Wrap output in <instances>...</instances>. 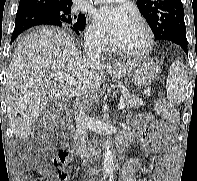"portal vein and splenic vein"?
<instances>
[{"mask_svg": "<svg viewBox=\"0 0 197 181\" xmlns=\"http://www.w3.org/2000/svg\"><path fill=\"white\" fill-rule=\"evenodd\" d=\"M53 76L59 80H63V81H66L68 84L72 85V86H76L77 85V81L76 79H74V77L72 76H69L68 74L66 73H63L61 71H58V72H55L53 74ZM125 108V104L123 102H120L118 104V109L122 110Z\"/></svg>", "mask_w": 197, "mask_h": 181, "instance_id": "obj_1", "label": "portal vein and splenic vein"}]
</instances>
